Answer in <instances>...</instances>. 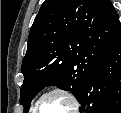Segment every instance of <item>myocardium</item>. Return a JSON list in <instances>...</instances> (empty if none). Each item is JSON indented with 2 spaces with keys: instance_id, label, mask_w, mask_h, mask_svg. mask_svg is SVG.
I'll list each match as a JSON object with an SVG mask.
<instances>
[{
  "instance_id": "1",
  "label": "myocardium",
  "mask_w": 121,
  "mask_h": 113,
  "mask_svg": "<svg viewBox=\"0 0 121 113\" xmlns=\"http://www.w3.org/2000/svg\"><path fill=\"white\" fill-rule=\"evenodd\" d=\"M54 94H59L61 95L63 98H65L71 105V109L70 112L68 113H73V111H76L79 109V102L78 99L76 98L75 95H73L70 91H68L67 89L64 88H53L45 93H43L35 102L34 106H33V110L35 113H38V108L40 103L48 96L50 95H54Z\"/></svg>"
}]
</instances>
